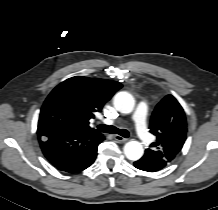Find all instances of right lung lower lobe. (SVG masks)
<instances>
[{
    "mask_svg": "<svg viewBox=\"0 0 218 210\" xmlns=\"http://www.w3.org/2000/svg\"><path fill=\"white\" fill-rule=\"evenodd\" d=\"M39 143L44 156L59 170L76 173L96 159L101 133L80 132L55 127H38Z\"/></svg>",
    "mask_w": 218,
    "mask_h": 210,
    "instance_id": "right-lung-lower-lobe-1",
    "label": "right lung lower lobe"
}]
</instances>
